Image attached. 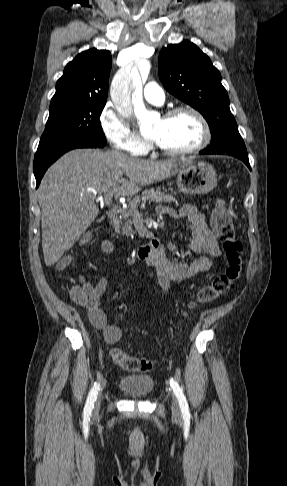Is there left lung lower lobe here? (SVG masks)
Instances as JSON below:
<instances>
[{
    "mask_svg": "<svg viewBox=\"0 0 287 486\" xmlns=\"http://www.w3.org/2000/svg\"><path fill=\"white\" fill-rule=\"evenodd\" d=\"M200 154H203V153L200 152ZM235 157L241 159L248 166V168L251 170L248 156H235Z\"/></svg>",
    "mask_w": 287,
    "mask_h": 486,
    "instance_id": "obj_1",
    "label": "left lung lower lobe"
}]
</instances>
